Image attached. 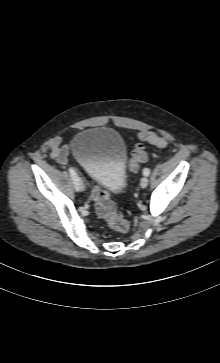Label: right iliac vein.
<instances>
[{"label":"right iliac vein","instance_id":"63e3f726","mask_svg":"<svg viewBox=\"0 0 220 363\" xmlns=\"http://www.w3.org/2000/svg\"><path fill=\"white\" fill-rule=\"evenodd\" d=\"M78 187H79V190H84V182L82 180V178L78 177Z\"/></svg>","mask_w":220,"mask_h":363}]
</instances>
